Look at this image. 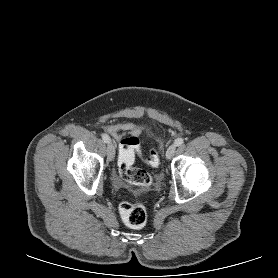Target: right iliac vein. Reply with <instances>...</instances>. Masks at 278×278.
<instances>
[{
    "label": "right iliac vein",
    "mask_w": 278,
    "mask_h": 278,
    "mask_svg": "<svg viewBox=\"0 0 278 278\" xmlns=\"http://www.w3.org/2000/svg\"><path fill=\"white\" fill-rule=\"evenodd\" d=\"M115 157V146L113 143L109 142L107 145V158L112 161Z\"/></svg>",
    "instance_id": "right-iliac-vein-1"
}]
</instances>
